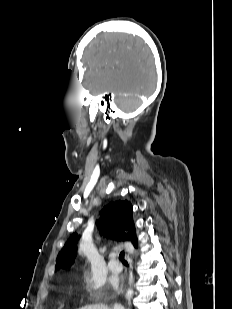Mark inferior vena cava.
I'll return each mask as SVG.
<instances>
[{"instance_id": "1", "label": "inferior vena cava", "mask_w": 232, "mask_h": 309, "mask_svg": "<svg viewBox=\"0 0 232 309\" xmlns=\"http://www.w3.org/2000/svg\"><path fill=\"white\" fill-rule=\"evenodd\" d=\"M115 309H123L122 307H118V308H115Z\"/></svg>"}]
</instances>
